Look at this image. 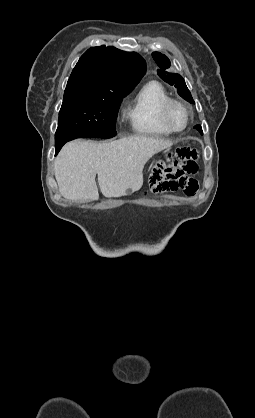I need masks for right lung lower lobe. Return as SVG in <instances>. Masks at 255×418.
Wrapping results in <instances>:
<instances>
[{"label": "right lung lower lobe", "instance_id": "obj_1", "mask_svg": "<svg viewBox=\"0 0 255 418\" xmlns=\"http://www.w3.org/2000/svg\"><path fill=\"white\" fill-rule=\"evenodd\" d=\"M67 141H63V142H58L55 143V148H56V153L55 155H57V153L60 151V149L62 148V146L66 143Z\"/></svg>", "mask_w": 255, "mask_h": 418}]
</instances>
